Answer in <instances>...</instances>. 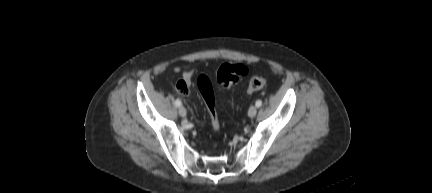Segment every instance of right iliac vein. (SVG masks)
Listing matches in <instances>:
<instances>
[{"mask_svg": "<svg viewBox=\"0 0 432 193\" xmlns=\"http://www.w3.org/2000/svg\"><path fill=\"white\" fill-rule=\"evenodd\" d=\"M178 112H179V115L182 116V117H185L186 114H187V111H186L185 107H183V106L179 107Z\"/></svg>", "mask_w": 432, "mask_h": 193, "instance_id": "1", "label": "right iliac vein"}]
</instances>
